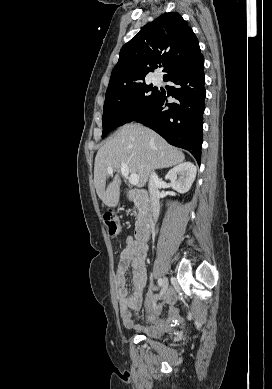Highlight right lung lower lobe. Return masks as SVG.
<instances>
[{"instance_id":"right-lung-lower-lobe-1","label":"right lung lower lobe","mask_w":272,"mask_h":389,"mask_svg":"<svg viewBox=\"0 0 272 389\" xmlns=\"http://www.w3.org/2000/svg\"><path fill=\"white\" fill-rule=\"evenodd\" d=\"M204 57L172 72L165 81L175 85L167 95L176 103H165L166 96L159 94L157 99L133 121L142 123L160 134L171 145L188 150L200 164L203 112L206 90ZM165 107H168L165 109Z\"/></svg>"}]
</instances>
